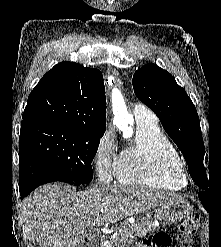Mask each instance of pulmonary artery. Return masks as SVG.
<instances>
[{
	"label": "pulmonary artery",
	"instance_id": "e3ab8cb5",
	"mask_svg": "<svg viewBox=\"0 0 221 247\" xmlns=\"http://www.w3.org/2000/svg\"><path fill=\"white\" fill-rule=\"evenodd\" d=\"M133 114L136 122H141V121L157 122L156 115L152 113L150 110H148L142 104L134 105Z\"/></svg>",
	"mask_w": 221,
	"mask_h": 247
}]
</instances>
